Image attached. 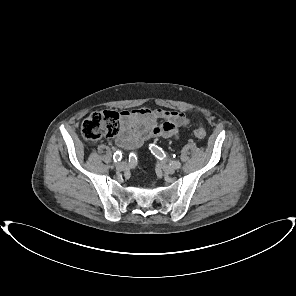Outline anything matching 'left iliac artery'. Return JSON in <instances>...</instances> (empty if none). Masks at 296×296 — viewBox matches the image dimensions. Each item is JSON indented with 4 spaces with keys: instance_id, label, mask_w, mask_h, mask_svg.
I'll list each match as a JSON object with an SVG mask.
<instances>
[{
    "instance_id": "1",
    "label": "left iliac artery",
    "mask_w": 296,
    "mask_h": 296,
    "mask_svg": "<svg viewBox=\"0 0 296 296\" xmlns=\"http://www.w3.org/2000/svg\"><path fill=\"white\" fill-rule=\"evenodd\" d=\"M149 149L156 157H158L160 159H162L165 156L162 149H160L158 146H156L154 144H150ZM170 165H172L176 169H179L181 167V163L179 161H173Z\"/></svg>"
}]
</instances>
